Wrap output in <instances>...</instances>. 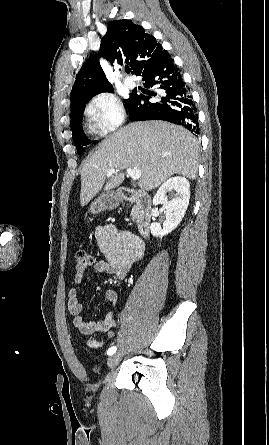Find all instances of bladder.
Listing matches in <instances>:
<instances>
[{
  "mask_svg": "<svg viewBox=\"0 0 269 445\" xmlns=\"http://www.w3.org/2000/svg\"><path fill=\"white\" fill-rule=\"evenodd\" d=\"M91 371L95 374H99L101 372V368L99 366H92Z\"/></svg>",
  "mask_w": 269,
  "mask_h": 445,
  "instance_id": "bladder-1",
  "label": "bladder"
}]
</instances>
